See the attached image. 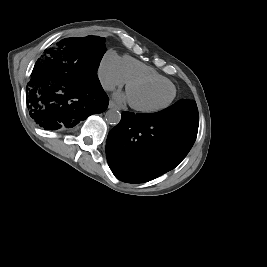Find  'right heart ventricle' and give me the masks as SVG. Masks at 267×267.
<instances>
[{
    "label": "right heart ventricle",
    "instance_id": "right-heart-ventricle-1",
    "mask_svg": "<svg viewBox=\"0 0 267 267\" xmlns=\"http://www.w3.org/2000/svg\"><path fill=\"white\" fill-rule=\"evenodd\" d=\"M121 66L126 81L134 78H154L163 82H170L162 74L158 73L154 68L129 56H124L121 60Z\"/></svg>",
    "mask_w": 267,
    "mask_h": 267
}]
</instances>
